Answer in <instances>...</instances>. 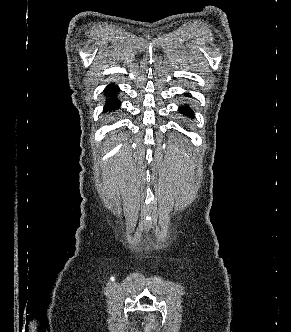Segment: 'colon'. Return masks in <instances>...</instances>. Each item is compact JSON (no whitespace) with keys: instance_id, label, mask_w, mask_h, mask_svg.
Here are the masks:
<instances>
[{"instance_id":"obj_1","label":"colon","mask_w":291,"mask_h":332,"mask_svg":"<svg viewBox=\"0 0 291 332\" xmlns=\"http://www.w3.org/2000/svg\"><path fill=\"white\" fill-rule=\"evenodd\" d=\"M155 327V321L154 319H150L149 329L152 330Z\"/></svg>"}]
</instances>
